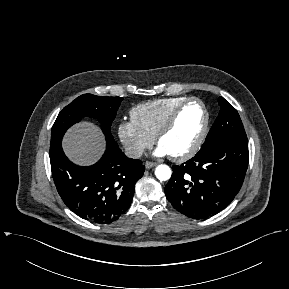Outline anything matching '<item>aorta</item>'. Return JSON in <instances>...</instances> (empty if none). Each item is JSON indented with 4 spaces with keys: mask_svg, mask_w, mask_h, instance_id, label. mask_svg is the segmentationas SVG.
I'll list each match as a JSON object with an SVG mask.
<instances>
[{
    "mask_svg": "<svg viewBox=\"0 0 289 289\" xmlns=\"http://www.w3.org/2000/svg\"><path fill=\"white\" fill-rule=\"evenodd\" d=\"M171 169L168 165L161 164L156 167L155 176L160 181L169 180L171 177Z\"/></svg>",
    "mask_w": 289,
    "mask_h": 289,
    "instance_id": "762f6f07",
    "label": "aorta"
}]
</instances>
